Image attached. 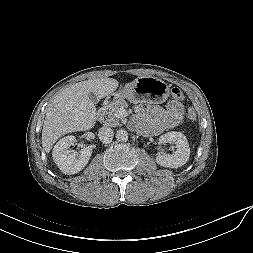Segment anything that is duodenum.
I'll use <instances>...</instances> for the list:
<instances>
[{"label": "duodenum", "mask_w": 253, "mask_h": 253, "mask_svg": "<svg viewBox=\"0 0 253 253\" xmlns=\"http://www.w3.org/2000/svg\"><path fill=\"white\" fill-rule=\"evenodd\" d=\"M116 100L115 96L108 97L104 102L102 107L98 111V115L101 116L104 111Z\"/></svg>", "instance_id": "1"}]
</instances>
